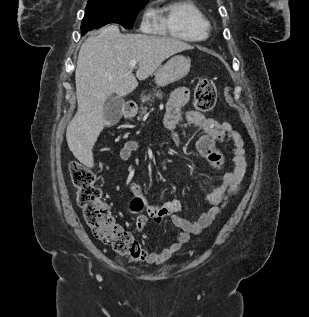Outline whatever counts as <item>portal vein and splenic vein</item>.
Returning <instances> with one entry per match:
<instances>
[{"mask_svg": "<svg viewBox=\"0 0 309 317\" xmlns=\"http://www.w3.org/2000/svg\"><path fill=\"white\" fill-rule=\"evenodd\" d=\"M136 64H137L136 60H131L130 63H129V66L131 68H135Z\"/></svg>", "mask_w": 309, "mask_h": 317, "instance_id": "1", "label": "portal vein and splenic vein"}]
</instances>
